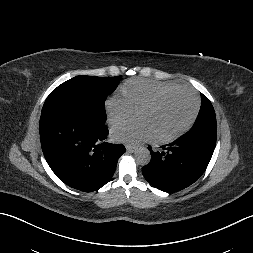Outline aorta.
I'll list each match as a JSON object with an SVG mask.
<instances>
[{
	"label": "aorta",
	"mask_w": 253,
	"mask_h": 253,
	"mask_svg": "<svg viewBox=\"0 0 253 253\" xmlns=\"http://www.w3.org/2000/svg\"><path fill=\"white\" fill-rule=\"evenodd\" d=\"M135 159L139 165H147L150 162V151L146 147H139L135 150Z\"/></svg>",
	"instance_id": "aorta-1"
}]
</instances>
